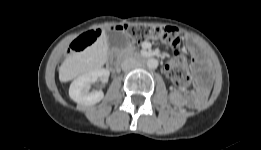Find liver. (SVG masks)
Here are the masks:
<instances>
[{
  "mask_svg": "<svg viewBox=\"0 0 261 150\" xmlns=\"http://www.w3.org/2000/svg\"><path fill=\"white\" fill-rule=\"evenodd\" d=\"M108 53V41L105 34H102L98 40L81 53L68 56L64 64L60 67V80L67 79L71 71L79 74L101 68L106 60Z\"/></svg>",
  "mask_w": 261,
  "mask_h": 150,
  "instance_id": "obj_1",
  "label": "liver"
}]
</instances>
